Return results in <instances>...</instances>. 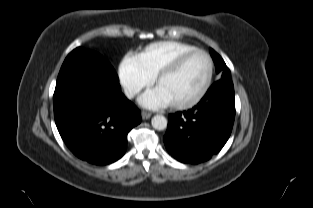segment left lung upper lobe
Returning <instances> with one entry per match:
<instances>
[{"instance_id": "left-lung-upper-lobe-1", "label": "left lung upper lobe", "mask_w": 313, "mask_h": 208, "mask_svg": "<svg viewBox=\"0 0 313 208\" xmlns=\"http://www.w3.org/2000/svg\"><path fill=\"white\" fill-rule=\"evenodd\" d=\"M210 52L216 65V72L222 75L221 79H230V70L227 68L223 59L213 49H210Z\"/></svg>"}]
</instances>
